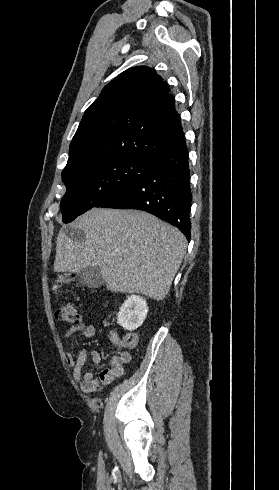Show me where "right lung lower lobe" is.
<instances>
[{
	"mask_svg": "<svg viewBox=\"0 0 279 490\" xmlns=\"http://www.w3.org/2000/svg\"><path fill=\"white\" fill-rule=\"evenodd\" d=\"M190 170L186 142L158 156L143 176L114 191L95 207L137 209L176 226L191 238Z\"/></svg>",
	"mask_w": 279,
	"mask_h": 490,
	"instance_id": "98d812e1",
	"label": "right lung lower lobe"
}]
</instances>
